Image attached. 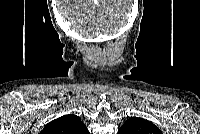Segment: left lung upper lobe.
Here are the masks:
<instances>
[{"mask_svg": "<svg viewBox=\"0 0 200 134\" xmlns=\"http://www.w3.org/2000/svg\"><path fill=\"white\" fill-rule=\"evenodd\" d=\"M118 134H161V132L149 121L138 117H132L122 125Z\"/></svg>", "mask_w": 200, "mask_h": 134, "instance_id": "1", "label": "left lung upper lobe"}]
</instances>
